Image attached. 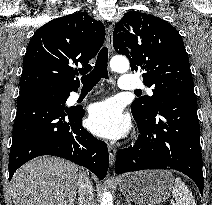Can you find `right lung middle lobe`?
<instances>
[{
	"mask_svg": "<svg viewBox=\"0 0 212 205\" xmlns=\"http://www.w3.org/2000/svg\"><path fill=\"white\" fill-rule=\"evenodd\" d=\"M60 102L63 104V106H65L66 99H65V98H61V99H60ZM65 108H66V109H71V108H68V107H66V106H65Z\"/></svg>",
	"mask_w": 212,
	"mask_h": 205,
	"instance_id": "right-lung-middle-lobe-1",
	"label": "right lung middle lobe"
}]
</instances>
